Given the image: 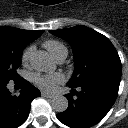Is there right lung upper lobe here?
Wrapping results in <instances>:
<instances>
[{
	"label": "right lung upper lobe",
	"instance_id": "1",
	"mask_svg": "<svg viewBox=\"0 0 128 128\" xmlns=\"http://www.w3.org/2000/svg\"><path fill=\"white\" fill-rule=\"evenodd\" d=\"M44 30L29 31L14 27H0V40L17 41L21 43H30L37 39Z\"/></svg>",
	"mask_w": 128,
	"mask_h": 128
}]
</instances>
